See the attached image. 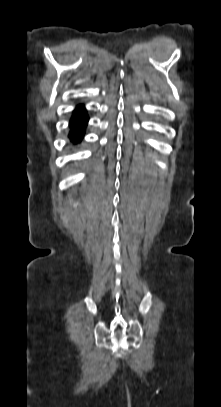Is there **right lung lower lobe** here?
<instances>
[{
	"instance_id": "98d812e1",
	"label": "right lung lower lobe",
	"mask_w": 221,
	"mask_h": 407,
	"mask_svg": "<svg viewBox=\"0 0 221 407\" xmlns=\"http://www.w3.org/2000/svg\"><path fill=\"white\" fill-rule=\"evenodd\" d=\"M88 116L85 109L82 106H78L70 119L69 137L74 143L80 142L85 134V128L87 126Z\"/></svg>"
}]
</instances>
